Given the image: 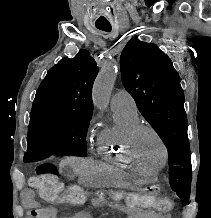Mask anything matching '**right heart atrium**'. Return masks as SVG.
Segmentation results:
<instances>
[{
	"mask_svg": "<svg viewBox=\"0 0 211 218\" xmlns=\"http://www.w3.org/2000/svg\"><path fill=\"white\" fill-rule=\"evenodd\" d=\"M95 121H96V119H95V118H92V119L90 120V125L92 126V125L95 123Z\"/></svg>",
	"mask_w": 211,
	"mask_h": 218,
	"instance_id": "right-heart-atrium-1",
	"label": "right heart atrium"
}]
</instances>
